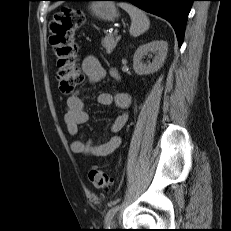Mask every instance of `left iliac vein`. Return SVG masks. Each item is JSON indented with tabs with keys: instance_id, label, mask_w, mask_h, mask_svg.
<instances>
[{
	"instance_id": "4c4485c4",
	"label": "left iliac vein",
	"mask_w": 231,
	"mask_h": 231,
	"mask_svg": "<svg viewBox=\"0 0 231 231\" xmlns=\"http://www.w3.org/2000/svg\"><path fill=\"white\" fill-rule=\"evenodd\" d=\"M109 227H115V219H111V221L109 222Z\"/></svg>"
}]
</instances>
